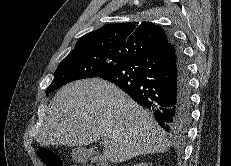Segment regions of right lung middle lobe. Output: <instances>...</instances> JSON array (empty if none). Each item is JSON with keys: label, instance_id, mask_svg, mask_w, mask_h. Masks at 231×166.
Returning a JSON list of instances; mask_svg holds the SVG:
<instances>
[{"label": "right lung middle lobe", "instance_id": "dd1d6c3e", "mask_svg": "<svg viewBox=\"0 0 231 166\" xmlns=\"http://www.w3.org/2000/svg\"><path fill=\"white\" fill-rule=\"evenodd\" d=\"M124 61L122 57L106 55L91 49L71 52L58 65L46 95L69 82L97 77Z\"/></svg>", "mask_w": 231, "mask_h": 166}]
</instances>
